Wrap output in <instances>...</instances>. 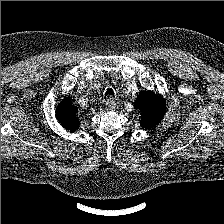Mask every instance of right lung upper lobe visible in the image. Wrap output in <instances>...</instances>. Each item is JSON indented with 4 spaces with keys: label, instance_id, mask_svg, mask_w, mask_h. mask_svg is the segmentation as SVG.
Masks as SVG:
<instances>
[{
    "label": "right lung upper lobe",
    "instance_id": "obj_1",
    "mask_svg": "<svg viewBox=\"0 0 224 224\" xmlns=\"http://www.w3.org/2000/svg\"><path fill=\"white\" fill-rule=\"evenodd\" d=\"M56 118L66 130L74 132L79 127L78 108L75 106L70 97L63 99L56 110Z\"/></svg>",
    "mask_w": 224,
    "mask_h": 224
}]
</instances>
